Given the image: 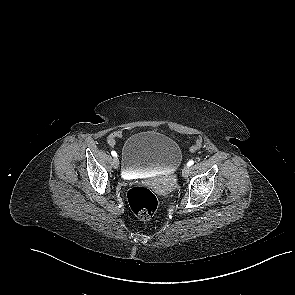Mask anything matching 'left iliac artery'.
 Returning a JSON list of instances; mask_svg holds the SVG:
<instances>
[{
	"label": "left iliac artery",
	"instance_id": "1",
	"mask_svg": "<svg viewBox=\"0 0 295 295\" xmlns=\"http://www.w3.org/2000/svg\"><path fill=\"white\" fill-rule=\"evenodd\" d=\"M194 164V161L193 160H190L188 163H187V166H192Z\"/></svg>",
	"mask_w": 295,
	"mask_h": 295
}]
</instances>
